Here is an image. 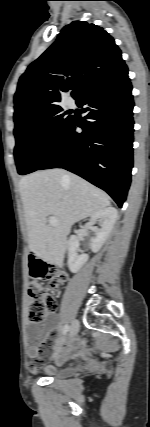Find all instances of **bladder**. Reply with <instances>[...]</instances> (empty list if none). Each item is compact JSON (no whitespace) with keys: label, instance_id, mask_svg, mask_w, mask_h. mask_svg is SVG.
<instances>
[{"label":"bladder","instance_id":"1","mask_svg":"<svg viewBox=\"0 0 150 427\" xmlns=\"http://www.w3.org/2000/svg\"><path fill=\"white\" fill-rule=\"evenodd\" d=\"M75 367L68 364L65 359L58 360V364L50 369V377L53 379H65L73 376Z\"/></svg>","mask_w":150,"mask_h":427}]
</instances>
